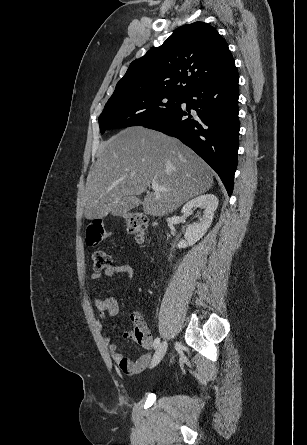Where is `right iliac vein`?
<instances>
[{"label": "right iliac vein", "instance_id": "63e3f726", "mask_svg": "<svg viewBox=\"0 0 307 445\" xmlns=\"http://www.w3.org/2000/svg\"><path fill=\"white\" fill-rule=\"evenodd\" d=\"M167 347H168V344H167L166 341H163L158 346V348H157V350H156V352H155V354H154V356L152 358V361H151V364H150V368L155 367L162 360V358L164 357V355H165V353L167 351Z\"/></svg>", "mask_w": 307, "mask_h": 445}]
</instances>
